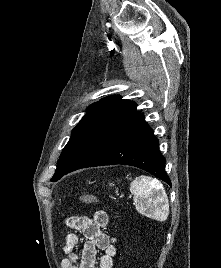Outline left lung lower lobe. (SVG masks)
<instances>
[{"instance_id": "0a47b994", "label": "left lung lower lobe", "mask_w": 221, "mask_h": 268, "mask_svg": "<svg viewBox=\"0 0 221 268\" xmlns=\"http://www.w3.org/2000/svg\"><path fill=\"white\" fill-rule=\"evenodd\" d=\"M159 141L135 109L104 129L61 175L80 168L124 164L141 168L171 186Z\"/></svg>"}]
</instances>
